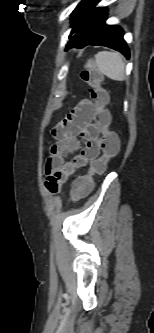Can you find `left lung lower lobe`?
<instances>
[{"label":"left lung lower lobe","mask_w":154,"mask_h":333,"mask_svg":"<svg viewBox=\"0 0 154 333\" xmlns=\"http://www.w3.org/2000/svg\"><path fill=\"white\" fill-rule=\"evenodd\" d=\"M94 6L82 19L79 29L68 42L66 49L100 45L115 49L128 59L129 49L123 39V30L120 27L105 24L106 9L94 8Z\"/></svg>","instance_id":"left-lung-lower-lobe-1"}]
</instances>
